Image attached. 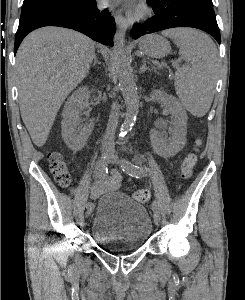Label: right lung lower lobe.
Returning <instances> with one entry per match:
<instances>
[{
    "instance_id": "right-lung-lower-lobe-1",
    "label": "right lung lower lobe",
    "mask_w": 245,
    "mask_h": 300,
    "mask_svg": "<svg viewBox=\"0 0 245 300\" xmlns=\"http://www.w3.org/2000/svg\"><path fill=\"white\" fill-rule=\"evenodd\" d=\"M44 26L74 29L97 42L113 46L115 20L107 9L99 10L96 0H91L88 5L82 8L64 9L20 22L15 36L14 53L28 33Z\"/></svg>"
}]
</instances>
